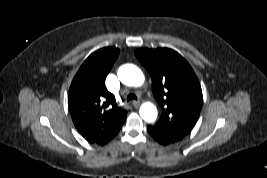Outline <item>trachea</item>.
<instances>
[{"mask_svg": "<svg viewBox=\"0 0 267 178\" xmlns=\"http://www.w3.org/2000/svg\"><path fill=\"white\" fill-rule=\"evenodd\" d=\"M132 100H137V96L135 94H133V93H130L127 96V102L132 101Z\"/></svg>", "mask_w": 267, "mask_h": 178, "instance_id": "1", "label": "trachea"}]
</instances>
